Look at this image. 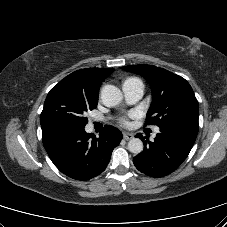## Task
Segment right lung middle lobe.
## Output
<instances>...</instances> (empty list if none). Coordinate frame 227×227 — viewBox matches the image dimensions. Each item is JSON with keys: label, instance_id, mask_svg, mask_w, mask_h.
Here are the masks:
<instances>
[{"label": "right lung middle lobe", "instance_id": "dd1d6c3e", "mask_svg": "<svg viewBox=\"0 0 227 227\" xmlns=\"http://www.w3.org/2000/svg\"><path fill=\"white\" fill-rule=\"evenodd\" d=\"M98 98L83 91L58 83L47 95L40 117L42 130L68 126L84 128L88 110L96 108Z\"/></svg>", "mask_w": 227, "mask_h": 227}]
</instances>
